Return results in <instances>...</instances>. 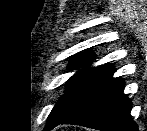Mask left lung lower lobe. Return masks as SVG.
Wrapping results in <instances>:
<instances>
[{"instance_id":"0a47b994","label":"left lung lower lobe","mask_w":147,"mask_h":131,"mask_svg":"<svg viewBox=\"0 0 147 131\" xmlns=\"http://www.w3.org/2000/svg\"><path fill=\"white\" fill-rule=\"evenodd\" d=\"M124 86L121 78H109L79 110L57 125L74 124L101 131H138L130 115L131 101L123 94Z\"/></svg>"}]
</instances>
